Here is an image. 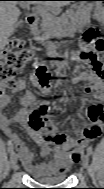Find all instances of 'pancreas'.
<instances>
[{"mask_svg": "<svg viewBox=\"0 0 104 189\" xmlns=\"http://www.w3.org/2000/svg\"><path fill=\"white\" fill-rule=\"evenodd\" d=\"M90 5L86 7L79 6L75 9H69L61 17H50L43 21L41 31L37 33L36 40L45 43L50 38H61L66 35V29L69 26V20L75 26H82L90 21ZM36 31H34L35 33Z\"/></svg>", "mask_w": 104, "mask_h": 189, "instance_id": "obj_1", "label": "pancreas"}]
</instances>
